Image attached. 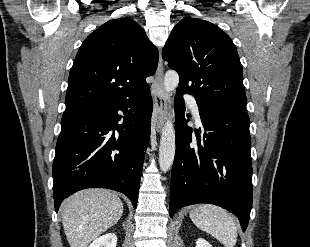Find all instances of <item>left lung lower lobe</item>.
Wrapping results in <instances>:
<instances>
[{"label":"left lung lower lobe","mask_w":310,"mask_h":247,"mask_svg":"<svg viewBox=\"0 0 310 247\" xmlns=\"http://www.w3.org/2000/svg\"><path fill=\"white\" fill-rule=\"evenodd\" d=\"M177 93L170 216L184 206L210 203L235 214L245 231L252 208L249 117L246 112L198 104L207 132L201 136L196 131L195 141L186 125L182 92Z\"/></svg>","instance_id":"0a47b994"}]
</instances>
